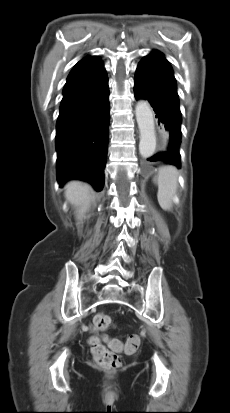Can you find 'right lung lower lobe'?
Returning a JSON list of instances; mask_svg holds the SVG:
<instances>
[{"label":"right lung lower lobe","mask_w":230,"mask_h":413,"mask_svg":"<svg viewBox=\"0 0 230 413\" xmlns=\"http://www.w3.org/2000/svg\"><path fill=\"white\" fill-rule=\"evenodd\" d=\"M109 87L104 66L67 80L56 125L57 179L89 182L97 191L104 184L108 147Z\"/></svg>","instance_id":"right-lung-lower-lobe-1"}]
</instances>
